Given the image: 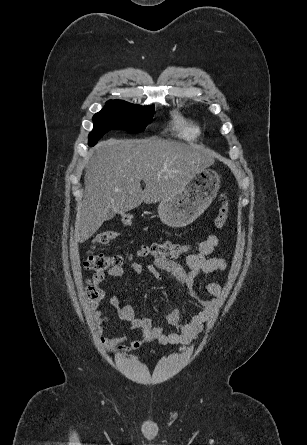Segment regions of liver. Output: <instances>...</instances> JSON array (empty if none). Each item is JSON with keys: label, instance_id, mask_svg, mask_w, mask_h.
I'll list each match as a JSON object with an SVG mask.
<instances>
[{"label": "liver", "instance_id": "liver-1", "mask_svg": "<svg viewBox=\"0 0 307 445\" xmlns=\"http://www.w3.org/2000/svg\"><path fill=\"white\" fill-rule=\"evenodd\" d=\"M213 162L214 154L199 144L189 146L156 136L101 140L86 166L75 241L90 239L109 212L122 214L141 202L152 204L180 194L194 172Z\"/></svg>", "mask_w": 307, "mask_h": 445}]
</instances>
